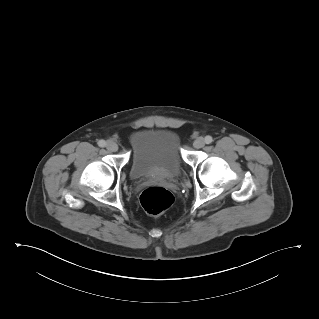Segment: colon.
<instances>
[{"mask_svg":"<svg viewBox=\"0 0 319 319\" xmlns=\"http://www.w3.org/2000/svg\"><path fill=\"white\" fill-rule=\"evenodd\" d=\"M140 203L149 215L157 217L173 205L174 196L163 187L151 186L141 193Z\"/></svg>","mask_w":319,"mask_h":319,"instance_id":"5ec220e1","label":"colon"}]
</instances>
